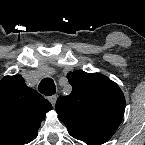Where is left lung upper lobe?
<instances>
[{
    "mask_svg": "<svg viewBox=\"0 0 145 145\" xmlns=\"http://www.w3.org/2000/svg\"><path fill=\"white\" fill-rule=\"evenodd\" d=\"M72 92L57 99L56 111L67 129L71 127L116 130L125 111L119 86L105 75L74 71L67 74Z\"/></svg>",
    "mask_w": 145,
    "mask_h": 145,
    "instance_id": "left-lung-upper-lobe-1",
    "label": "left lung upper lobe"
}]
</instances>
